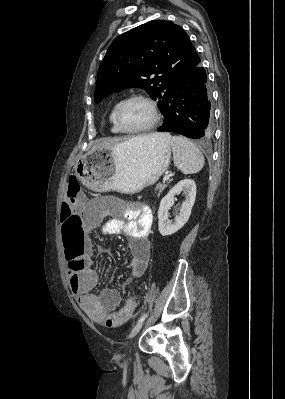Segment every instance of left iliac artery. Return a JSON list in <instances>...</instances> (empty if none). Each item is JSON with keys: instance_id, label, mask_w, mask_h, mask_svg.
I'll return each instance as SVG.
<instances>
[{"instance_id": "obj_1", "label": "left iliac artery", "mask_w": 285, "mask_h": 399, "mask_svg": "<svg viewBox=\"0 0 285 399\" xmlns=\"http://www.w3.org/2000/svg\"><path fill=\"white\" fill-rule=\"evenodd\" d=\"M147 316H148V313H144V314L139 318L138 323L144 321V320L147 318Z\"/></svg>"}]
</instances>
